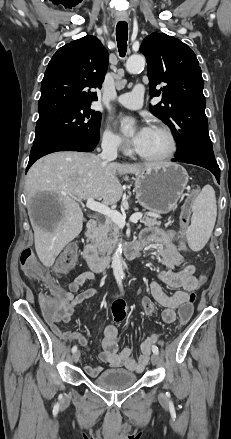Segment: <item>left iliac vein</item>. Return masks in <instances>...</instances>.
I'll list each match as a JSON object with an SVG mask.
<instances>
[{
	"instance_id": "1",
	"label": "left iliac vein",
	"mask_w": 231,
	"mask_h": 439,
	"mask_svg": "<svg viewBox=\"0 0 231 439\" xmlns=\"http://www.w3.org/2000/svg\"><path fill=\"white\" fill-rule=\"evenodd\" d=\"M151 362L154 366H158L160 364V358L158 354L153 353L151 356Z\"/></svg>"
}]
</instances>
